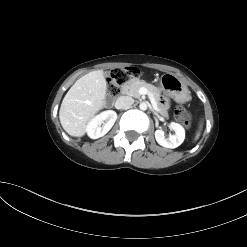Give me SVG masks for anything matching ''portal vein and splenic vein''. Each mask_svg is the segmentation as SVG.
<instances>
[{
  "label": "portal vein and splenic vein",
  "instance_id": "portal-vein-and-splenic-vein-1",
  "mask_svg": "<svg viewBox=\"0 0 247 247\" xmlns=\"http://www.w3.org/2000/svg\"><path fill=\"white\" fill-rule=\"evenodd\" d=\"M144 93L145 94L146 93L148 94L149 99H150L152 105L156 108V101H155L154 95L151 92H149L147 89H145V92Z\"/></svg>",
  "mask_w": 247,
  "mask_h": 247
}]
</instances>
